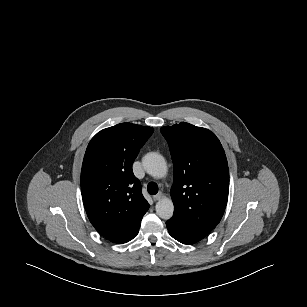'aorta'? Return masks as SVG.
Instances as JSON below:
<instances>
[{
    "instance_id": "obj_1",
    "label": "aorta",
    "mask_w": 307,
    "mask_h": 307,
    "mask_svg": "<svg viewBox=\"0 0 307 307\" xmlns=\"http://www.w3.org/2000/svg\"><path fill=\"white\" fill-rule=\"evenodd\" d=\"M142 164L145 171L155 177L163 178L167 174V164L164 157L158 153H147L143 159ZM174 213V205L171 199L162 198L156 203V214L165 220L172 218Z\"/></svg>"
}]
</instances>
